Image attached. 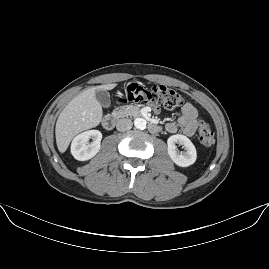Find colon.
Here are the masks:
<instances>
[{"mask_svg":"<svg viewBox=\"0 0 269 269\" xmlns=\"http://www.w3.org/2000/svg\"><path fill=\"white\" fill-rule=\"evenodd\" d=\"M115 99L121 105L140 101L169 110L180 107L183 102L181 94L165 84H154L150 90L142 89L138 84H124L116 92ZM197 136L204 146H212L215 143L214 133L205 120L198 122Z\"/></svg>","mask_w":269,"mask_h":269,"instance_id":"5ec220e1","label":"colon"}]
</instances>
